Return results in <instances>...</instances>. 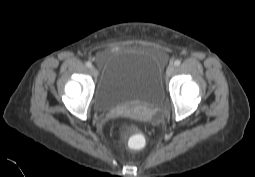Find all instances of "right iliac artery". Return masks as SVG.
<instances>
[{
	"label": "right iliac artery",
	"instance_id": "obj_1",
	"mask_svg": "<svg viewBox=\"0 0 255 177\" xmlns=\"http://www.w3.org/2000/svg\"><path fill=\"white\" fill-rule=\"evenodd\" d=\"M86 66H87L88 68H91V67H92V64H91L90 62H86Z\"/></svg>",
	"mask_w": 255,
	"mask_h": 177
}]
</instances>
